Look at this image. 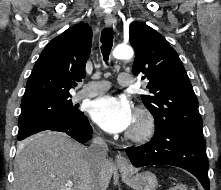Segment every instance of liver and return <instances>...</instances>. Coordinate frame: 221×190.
Wrapping results in <instances>:
<instances>
[{"label":"liver","mask_w":221,"mask_h":190,"mask_svg":"<svg viewBox=\"0 0 221 190\" xmlns=\"http://www.w3.org/2000/svg\"><path fill=\"white\" fill-rule=\"evenodd\" d=\"M113 171L109 160L92 165L86 149L67 135L38 133L19 144L13 190H106Z\"/></svg>","instance_id":"obj_1"}]
</instances>
